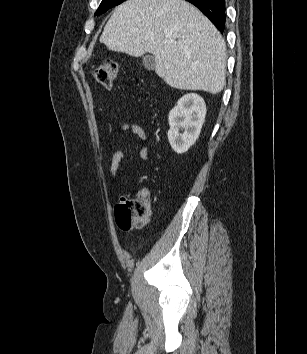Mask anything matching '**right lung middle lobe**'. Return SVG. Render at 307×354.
I'll use <instances>...</instances> for the list:
<instances>
[{
    "label": "right lung middle lobe",
    "instance_id": "right-lung-middle-lobe-1",
    "mask_svg": "<svg viewBox=\"0 0 307 354\" xmlns=\"http://www.w3.org/2000/svg\"><path fill=\"white\" fill-rule=\"evenodd\" d=\"M126 0H102L98 10L96 11L95 15H100L106 12L108 9L121 4Z\"/></svg>",
    "mask_w": 307,
    "mask_h": 354
}]
</instances>
